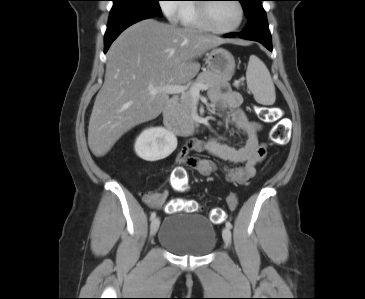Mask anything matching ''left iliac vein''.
I'll use <instances>...</instances> for the list:
<instances>
[{"instance_id": "4c4485c4", "label": "left iliac vein", "mask_w": 365, "mask_h": 299, "mask_svg": "<svg viewBox=\"0 0 365 299\" xmlns=\"http://www.w3.org/2000/svg\"><path fill=\"white\" fill-rule=\"evenodd\" d=\"M224 241L229 244L231 240V231L229 228L225 227L222 231Z\"/></svg>"}]
</instances>
